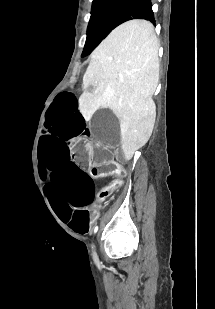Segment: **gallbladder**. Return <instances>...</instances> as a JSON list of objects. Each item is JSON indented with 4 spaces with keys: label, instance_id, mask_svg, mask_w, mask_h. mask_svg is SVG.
I'll list each match as a JSON object with an SVG mask.
<instances>
[{
    "label": "gallbladder",
    "instance_id": "gallbladder-1",
    "mask_svg": "<svg viewBox=\"0 0 215 309\" xmlns=\"http://www.w3.org/2000/svg\"><path fill=\"white\" fill-rule=\"evenodd\" d=\"M91 88L92 86L89 84L88 90ZM91 132L97 140H100L104 148H119V123L116 115H113L109 109H98L97 113H93Z\"/></svg>",
    "mask_w": 215,
    "mask_h": 309
}]
</instances>
